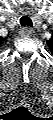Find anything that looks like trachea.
I'll return each instance as SVG.
<instances>
[{
  "label": "trachea",
  "mask_w": 53,
  "mask_h": 120,
  "mask_svg": "<svg viewBox=\"0 0 53 120\" xmlns=\"http://www.w3.org/2000/svg\"><path fill=\"white\" fill-rule=\"evenodd\" d=\"M21 26L32 27V20L28 16H23L20 18Z\"/></svg>",
  "instance_id": "3493384b"
}]
</instances>
